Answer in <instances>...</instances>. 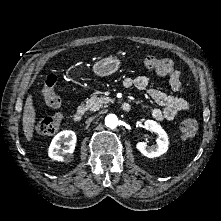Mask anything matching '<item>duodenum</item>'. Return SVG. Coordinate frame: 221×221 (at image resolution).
<instances>
[{
	"mask_svg": "<svg viewBox=\"0 0 221 221\" xmlns=\"http://www.w3.org/2000/svg\"><path fill=\"white\" fill-rule=\"evenodd\" d=\"M131 108L130 104L128 102H123L121 104V109L123 111H129ZM84 116V111L83 109H77L76 111H74V113L72 114V120L74 122H80L83 119Z\"/></svg>",
	"mask_w": 221,
	"mask_h": 221,
	"instance_id": "duodenum-1",
	"label": "duodenum"
}]
</instances>
